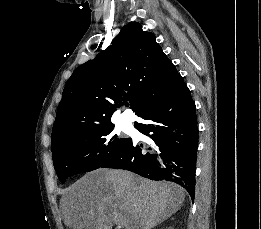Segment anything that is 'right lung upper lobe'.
Returning <instances> with one entry per match:
<instances>
[{
	"label": "right lung upper lobe",
	"mask_w": 261,
	"mask_h": 229,
	"mask_svg": "<svg viewBox=\"0 0 261 229\" xmlns=\"http://www.w3.org/2000/svg\"><path fill=\"white\" fill-rule=\"evenodd\" d=\"M180 77L154 34L143 31L137 22L125 25L111 46L68 79L52 129L51 150L72 134L71 129L112 124L111 117L124 99L141 115Z\"/></svg>",
	"instance_id": "1"
}]
</instances>
